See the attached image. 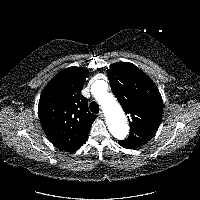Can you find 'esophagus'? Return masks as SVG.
Wrapping results in <instances>:
<instances>
[{
	"label": "esophagus",
	"mask_w": 200,
	"mask_h": 200,
	"mask_svg": "<svg viewBox=\"0 0 200 200\" xmlns=\"http://www.w3.org/2000/svg\"><path fill=\"white\" fill-rule=\"evenodd\" d=\"M99 117H100V118H102V119L105 117V115H104V112H103V111H100V113H99Z\"/></svg>",
	"instance_id": "34e87169"
}]
</instances>
